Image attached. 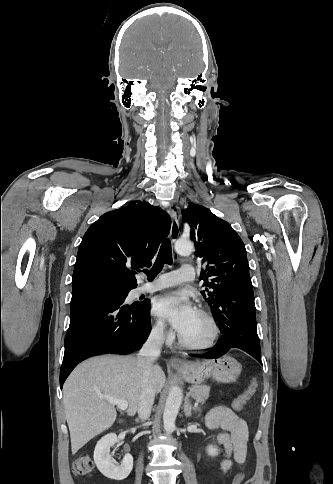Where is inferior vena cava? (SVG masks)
Masks as SVG:
<instances>
[{
    "instance_id": "obj_1",
    "label": "inferior vena cava",
    "mask_w": 333,
    "mask_h": 484,
    "mask_svg": "<svg viewBox=\"0 0 333 484\" xmlns=\"http://www.w3.org/2000/svg\"><path fill=\"white\" fill-rule=\"evenodd\" d=\"M164 343L163 328L153 329L147 341L137 355V361L142 368V389L139 398L138 415L141 421H146L151 414L155 391L151 382V369L155 360L160 356Z\"/></svg>"
}]
</instances>
